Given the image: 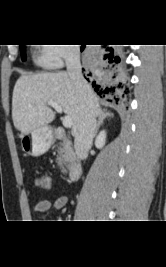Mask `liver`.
Returning a JSON list of instances; mask_svg holds the SVG:
<instances>
[{
  "instance_id": "6515ba94",
  "label": "liver",
  "mask_w": 166,
  "mask_h": 267,
  "mask_svg": "<svg viewBox=\"0 0 166 267\" xmlns=\"http://www.w3.org/2000/svg\"><path fill=\"white\" fill-rule=\"evenodd\" d=\"M91 93L94 113L98 116L103 111L92 89ZM48 101L58 103L64 113L71 116L72 134H76L80 123L83 94L76 88L67 72L60 71L21 75L17 80L12 97V119L15 128L21 132V138L54 120L55 112L47 105Z\"/></svg>"
}]
</instances>
